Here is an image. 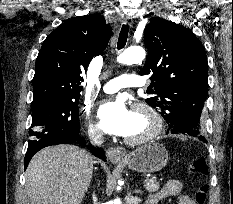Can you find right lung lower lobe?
<instances>
[{"label":"right lung lower lobe","mask_w":233,"mask_h":204,"mask_svg":"<svg viewBox=\"0 0 233 204\" xmlns=\"http://www.w3.org/2000/svg\"><path fill=\"white\" fill-rule=\"evenodd\" d=\"M74 142H78L81 146H85V140L83 137H81L80 134H68V133H66V134H62V135H59V136L53 138L52 140H50L48 143H46L40 149L47 147V146H51V145L72 144ZM89 148H91L93 155H95V156H97L105 161V155H104V152L102 151L101 148H95V147H91V146H89ZM40 149L34 150V151L27 150L26 155H25L24 170L27 168L33 155L36 152H38Z\"/></svg>","instance_id":"98d812e1"}]
</instances>
